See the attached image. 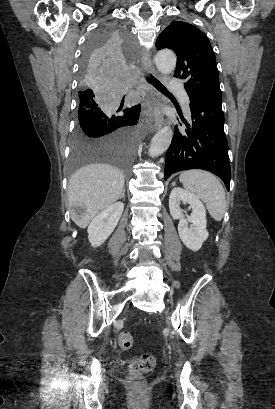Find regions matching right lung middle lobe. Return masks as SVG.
<instances>
[{"mask_svg":"<svg viewBox=\"0 0 275 409\" xmlns=\"http://www.w3.org/2000/svg\"><path fill=\"white\" fill-rule=\"evenodd\" d=\"M135 50L136 43L122 24H99L86 43L84 57H79L76 78L81 91L67 167L72 179L79 167L103 163L121 167L123 176L133 174L141 107L130 108L127 97L113 91L126 90L127 66Z\"/></svg>","mask_w":275,"mask_h":409,"instance_id":"1","label":"right lung middle lobe"}]
</instances>
